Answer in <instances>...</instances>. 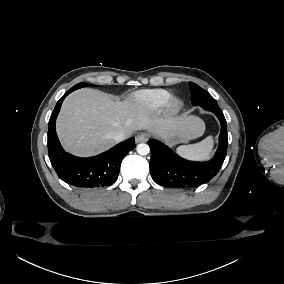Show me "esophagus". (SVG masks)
Instances as JSON below:
<instances>
[{
	"label": "esophagus",
	"mask_w": 284,
	"mask_h": 284,
	"mask_svg": "<svg viewBox=\"0 0 284 284\" xmlns=\"http://www.w3.org/2000/svg\"><path fill=\"white\" fill-rule=\"evenodd\" d=\"M148 139V135L146 133H140L136 136V142H144Z\"/></svg>",
	"instance_id": "34e87169"
}]
</instances>
